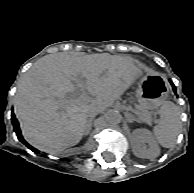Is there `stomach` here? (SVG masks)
<instances>
[{"label": "stomach", "mask_w": 194, "mask_h": 193, "mask_svg": "<svg viewBox=\"0 0 194 193\" xmlns=\"http://www.w3.org/2000/svg\"><path fill=\"white\" fill-rule=\"evenodd\" d=\"M168 97L166 79L158 74H141L137 78L136 98L137 109L140 111L154 110Z\"/></svg>", "instance_id": "1"}]
</instances>
